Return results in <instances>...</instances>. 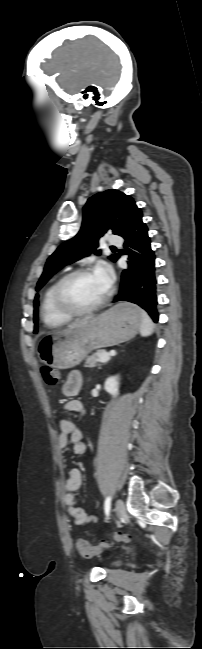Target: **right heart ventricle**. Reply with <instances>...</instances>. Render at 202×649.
I'll list each match as a JSON object with an SVG mask.
<instances>
[{
	"label": "right heart ventricle",
	"mask_w": 202,
	"mask_h": 649,
	"mask_svg": "<svg viewBox=\"0 0 202 649\" xmlns=\"http://www.w3.org/2000/svg\"><path fill=\"white\" fill-rule=\"evenodd\" d=\"M58 279L54 280L44 291L41 301V317L49 327H60L68 323L72 316L63 313L54 301V289Z\"/></svg>",
	"instance_id": "right-heart-ventricle-1"
}]
</instances>
